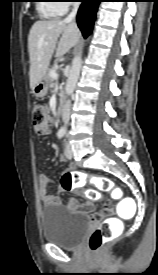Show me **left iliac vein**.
<instances>
[{"mask_svg": "<svg viewBox=\"0 0 158 275\" xmlns=\"http://www.w3.org/2000/svg\"><path fill=\"white\" fill-rule=\"evenodd\" d=\"M64 155L67 159H71L73 157V152L70 144H66Z\"/></svg>", "mask_w": 158, "mask_h": 275, "instance_id": "1", "label": "left iliac vein"}]
</instances>
